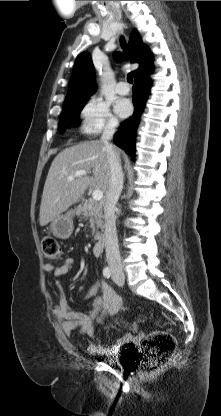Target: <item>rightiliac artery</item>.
I'll use <instances>...</instances> for the list:
<instances>
[{"mask_svg": "<svg viewBox=\"0 0 221 416\" xmlns=\"http://www.w3.org/2000/svg\"><path fill=\"white\" fill-rule=\"evenodd\" d=\"M103 275H104V277H106V278H109V277H110V275H111V270H110V268H109V267H105V268L103 269Z\"/></svg>", "mask_w": 221, "mask_h": 416, "instance_id": "1", "label": "right iliac artery"}]
</instances>
